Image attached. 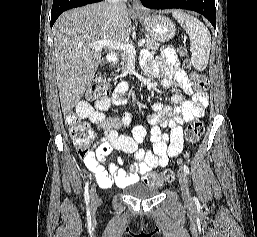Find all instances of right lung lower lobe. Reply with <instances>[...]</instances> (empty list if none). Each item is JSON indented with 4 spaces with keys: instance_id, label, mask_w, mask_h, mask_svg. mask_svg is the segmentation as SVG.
<instances>
[{
    "instance_id": "right-lung-lower-lobe-1",
    "label": "right lung lower lobe",
    "mask_w": 257,
    "mask_h": 237,
    "mask_svg": "<svg viewBox=\"0 0 257 237\" xmlns=\"http://www.w3.org/2000/svg\"><path fill=\"white\" fill-rule=\"evenodd\" d=\"M100 1L102 0H54L51 11V27L62 12L71 8L84 6L86 4Z\"/></svg>"
}]
</instances>
